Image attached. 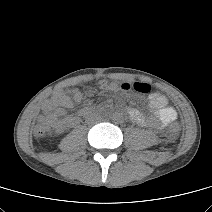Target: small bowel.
<instances>
[{"label": "small bowel", "mask_w": 212, "mask_h": 212, "mask_svg": "<svg viewBox=\"0 0 212 212\" xmlns=\"http://www.w3.org/2000/svg\"><path fill=\"white\" fill-rule=\"evenodd\" d=\"M81 94L78 91H57L43 104L44 119L49 121L57 131L67 127L75 126L79 120V115H68L67 110L71 109L75 103L81 101ZM149 108L155 114L157 120L151 124L162 129L174 123L177 113L174 108L168 105L167 98L153 92L149 95ZM128 114L132 121L139 125L146 126L150 122L137 109H129Z\"/></svg>", "instance_id": "small-bowel-1"}]
</instances>
